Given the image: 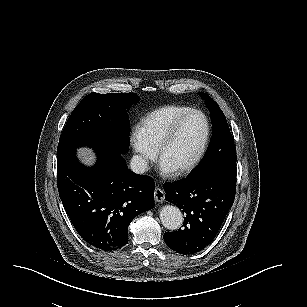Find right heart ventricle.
<instances>
[{"instance_id":"right-heart-ventricle-1","label":"right heart ventricle","mask_w":307,"mask_h":307,"mask_svg":"<svg viewBox=\"0 0 307 307\" xmlns=\"http://www.w3.org/2000/svg\"><path fill=\"white\" fill-rule=\"evenodd\" d=\"M183 109L174 107H164L159 109L148 121L146 128L141 129L136 136L142 137L153 147L164 144V133L171 128V125L179 119V114Z\"/></svg>"}]
</instances>
